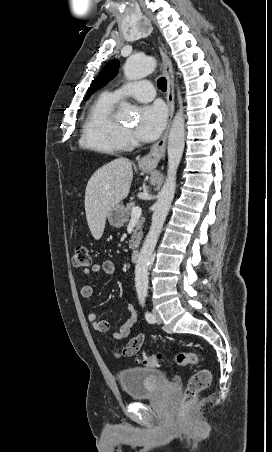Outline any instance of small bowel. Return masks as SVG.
<instances>
[{"mask_svg":"<svg viewBox=\"0 0 272 452\" xmlns=\"http://www.w3.org/2000/svg\"><path fill=\"white\" fill-rule=\"evenodd\" d=\"M83 272L85 275L100 274V273L112 275L115 272V264L111 260H103L100 263L93 264L90 268H85ZM80 293L83 298H87V299L91 298L94 293V288L90 284H84L81 287ZM125 306H126V310H127L129 316H128L127 320L118 329L113 328L107 320L99 319L95 313H91L88 316V320L96 332H99V333L111 332L113 337L116 339H127L131 335L132 328L136 324L138 316H137L136 308L134 307V305L131 302L126 300ZM145 337H146L145 332H140L135 337H132L129 341L138 340L139 341V350H140V348L145 340ZM116 354L120 355L121 353L117 350Z\"/></svg>","mask_w":272,"mask_h":452,"instance_id":"1","label":"small bowel"}]
</instances>
